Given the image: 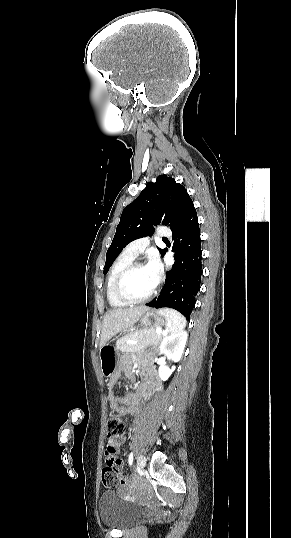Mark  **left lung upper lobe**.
<instances>
[{
    "label": "left lung upper lobe",
    "mask_w": 291,
    "mask_h": 538,
    "mask_svg": "<svg viewBox=\"0 0 291 538\" xmlns=\"http://www.w3.org/2000/svg\"><path fill=\"white\" fill-rule=\"evenodd\" d=\"M193 209L195 208L187 190L172 177L161 175L155 183H148L138 198L122 212L113 241L106 253L104 274L128 243L151 236L153 225L159 224L162 217L163 224H170L174 230ZM158 249L163 256L166 249Z\"/></svg>",
    "instance_id": "1"
}]
</instances>
